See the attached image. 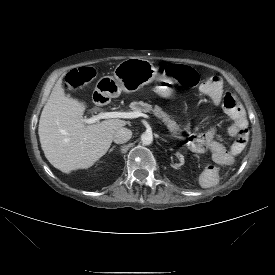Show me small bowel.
<instances>
[{
  "instance_id": "1",
  "label": "small bowel",
  "mask_w": 275,
  "mask_h": 275,
  "mask_svg": "<svg viewBox=\"0 0 275 275\" xmlns=\"http://www.w3.org/2000/svg\"><path fill=\"white\" fill-rule=\"evenodd\" d=\"M203 92L210 102L218 105L222 100L223 82L219 76H213L203 86ZM227 114L231 119L228 127V133L231 136H237L238 133L247 129L248 122L242 106L238 102L227 110ZM213 132L207 131L203 134H197L192 139V146L197 151H209L210 158L206 163V168L200 174V181L205 186H212L217 183L220 176L227 171V165L234 162V156L238 153L227 151L225 144L220 139H213Z\"/></svg>"
}]
</instances>
